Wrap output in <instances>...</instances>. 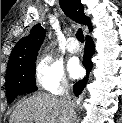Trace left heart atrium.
Segmentation results:
<instances>
[{
    "label": "left heart atrium",
    "instance_id": "left-heart-atrium-1",
    "mask_svg": "<svg viewBox=\"0 0 122 123\" xmlns=\"http://www.w3.org/2000/svg\"><path fill=\"white\" fill-rule=\"evenodd\" d=\"M68 70L73 78H78L82 75L83 69L76 58H72L68 63Z\"/></svg>",
    "mask_w": 122,
    "mask_h": 123
}]
</instances>
